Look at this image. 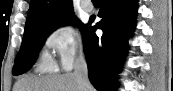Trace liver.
<instances>
[{"label":"liver","instance_id":"1","mask_svg":"<svg viewBox=\"0 0 173 91\" xmlns=\"http://www.w3.org/2000/svg\"><path fill=\"white\" fill-rule=\"evenodd\" d=\"M13 91H79L76 78L72 73L57 76H24L14 85ZM87 91H95L90 84Z\"/></svg>","mask_w":173,"mask_h":91}]
</instances>
